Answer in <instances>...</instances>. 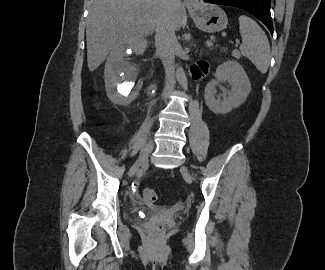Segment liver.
Segmentation results:
<instances>
[{
  "mask_svg": "<svg viewBox=\"0 0 325 270\" xmlns=\"http://www.w3.org/2000/svg\"><path fill=\"white\" fill-rule=\"evenodd\" d=\"M161 13V0H91L86 26L87 64L97 69L109 52L120 45L143 51L144 37L151 35ZM185 6H173L175 30L186 22Z\"/></svg>",
  "mask_w": 325,
  "mask_h": 270,
  "instance_id": "obj_1",
  "label": "liver"
}]
</instances>
